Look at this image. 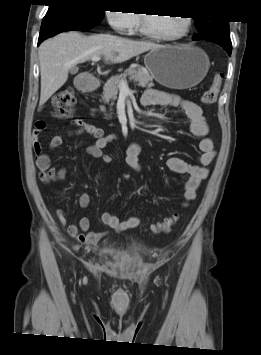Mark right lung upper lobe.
Segmentation results:
<instances>
[{
	"instance_id": "obj_1",
	"label": "right lung upper lobe",
	"mask_w": 261,
	"mask_h": 355,
	"mask_svg": "<svg viewBox=\"0 0 261 355\" xmlns=\"http://www.w3.org/2000/svg\"><path fill=\"white\" fill-rule=\"evenodd\" d=\"M50 1L51 4L62 2V1H68V0H48Z\"/></svg>"
}]
</instances>
